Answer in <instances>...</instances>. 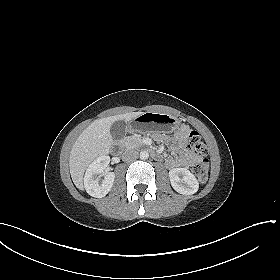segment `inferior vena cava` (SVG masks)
Returning a JSON list of instances; mask_svg holds the SVG:
<instances>
[{"instance_id":"602c4592","label":"inferior vena cava","mask_w":280,"mask_h":280,"mask_svg":"<svg viewBox=\"0 0 280 280\" xmlns=\"http://www.w3.org/2000/svg\"><path fill=\"white\" fill-rule=\"evenodd\" d=\"M138 152L136 150H126L122 154V160L124 162H132L135 161L138 158Z\"/></svg>"}]
</instances>
